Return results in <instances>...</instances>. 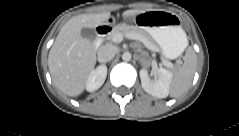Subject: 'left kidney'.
Returning <instances> with one entry per match:
<instances>
[{
	"instance_id": "left-kidney-1",
	"label": "left kidney",
	"mask_w": 239,
	"mask_h": 136,
	"mask_svg": "<svg viewBox=\"0 0 239 136\" xmlns=\"http://www.w3.org/2000/svg\"><path fill=\"white\" fill-rule=\"evenodd\" d=\"M158 80L151 81L146 69L139 72L141 85L145 92L157 98H166L169 94L170 84L172 81V72L164 69H158Z\"/></svg>"
}]
</instances>
